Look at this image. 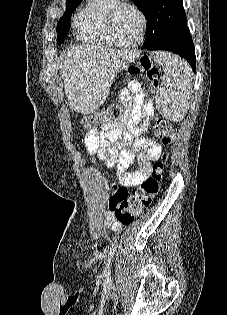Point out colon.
I'll return each mask as SVG.
<instances>
[{"instance_id":"5ec220e1","label":"colon","mask_w":227,"mask_h":315,"mask_svg":"<svg viewBox=\"0 0 227 315\" xmlns=\"http://www.w3.org/2000/svg\"><path fill=\"white\" fill-rule=\"evenodd\" d=\"M129 73L132 75L145 74L152 89L158 86L161 78L159 68L145 57L133 61L129 67ZM120 116V106L114 104L101 114L83 117L80 123L84 129H90L99 125H111L118 121ZM144 117L152 122L155 135L160 137L166 145H171L175 141L176 132L168 120L157 117L153 111L148 110L144 112ZM167 157L168 155L165 154L164 160L157 162L153 166L152 173L131 192L117 184L112 185L109 211L119 223L122 225L131 223L136 216L151 205L160 190Z\"/></svg>"}]
</instances>
